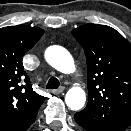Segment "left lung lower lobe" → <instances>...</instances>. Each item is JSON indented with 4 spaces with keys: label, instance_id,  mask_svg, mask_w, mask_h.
I'll use <instances>...</instances> for the list:
<instances>
[{
    "label": "left lung lower lobe",
    "instance_id": "0a47b994",
    "mask_svg": "<svg viewBox=\"0 0 131 131\" xmlns=\"http://www.w3.org/2000/svg\"><path fill=\"white\" fill-rule=\"evenodd\" d=\"M74 117H75L76 122H77L80 126H82L84 129H86L87 131H94V130L86 127V125L84 124V122L81 120V118L79 117V115H78L77 113L75 114Z\"/></svg>",
    "mask_w": 131,
    "mask_h": 131
}]
</instances>
